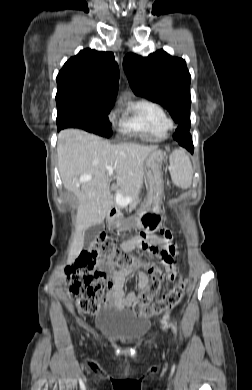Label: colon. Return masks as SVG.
<instances>
[{"label":"colon","instance_id":"colon-1","mask_svg":"<svg viewBox=\"0 0 252 390\" xmlns=\"http://www.w3.org/2000/svg\"><path fill=\"white\" fill-rule=\"evenodd\" d=\"M146 226L148 229L141 233L142 248L151 252L156 249L149 239L155 226L151 224H146ZM99 261L119 271L129 270L140 263L144 264L151 275V280L147 287L136 296L133 310L139 317L163 313L179 304L184 296L186 282L181 278L162 298L151 304L152 298L158 293L162 283L166 279H173L176 275L172 257L168 254L164 255V261L169 264V267L162 269L153 260L143 262L129 250L117 245L111 235L104 233L98 236L90 250L83 253L77 262L66 271L71 296L79 309L86 314L92 315L98 311L104 293V280L107 275L97 270Z\"/></svg>","mask_w":252,"mask_h":390}]
</instances>
